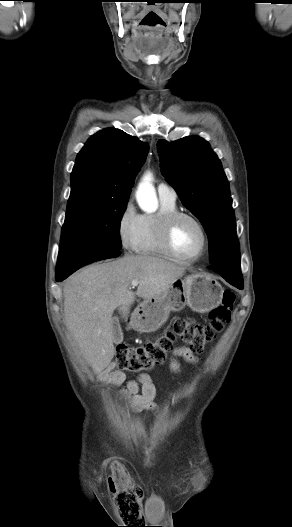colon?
<instances>
[{
    "label": "colon",
    "mask_w": 292,
    "mask_h": 527,
    "mask_svg": "<svg viewBox=\"0 0 292 527\" xmlns=\"http://www.w3.org/2000/svg\"><path fill=\"white\" fill-rule=\"evenodd\" d=\"M234 302L235 294L230 290H224L221 302L210 312L207 324L179 318L174 321L170 329L155 340L147 341L137 347H118L116 365L130 373L150 371L164 362L177 339L193 352H202L229 323ZM116 503L122 507L127 503H133L136 512H140L136 496L132 493L122 492L116 497Z\"/></svg>",
    "instance_id": "obj_1"
}]
</instances>
